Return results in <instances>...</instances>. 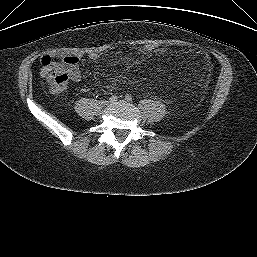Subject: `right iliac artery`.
<instances>
[{"label": "right iliac artery", "mask_w": 257, "mask_h": 257, "mask_svg": "<svg viewBox=\"0 0 257 257\" xmlns=\"http://www.w3.org/2000/svg\"><path fill=\"white\" fill-rule=\"evenodd\" d=\"M117 99H118V97L115 96V95H112V96L109 98L110 102H115V101H117Z\"/></svg>", "instance_id": "right-iliac-artery-1"}]
</instances>
